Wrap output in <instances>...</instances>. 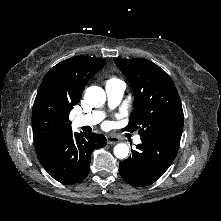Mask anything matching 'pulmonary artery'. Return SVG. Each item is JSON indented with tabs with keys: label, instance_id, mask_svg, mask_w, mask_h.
<instances>
[{
	"label": "pulmonary artery",
	"instance_id": "obj_1",
	"mask_svg": "<svg viewBox=\"0 0 221 221\" xmlns=\"http://www.w3.org/2000/svg\"><path fill=\"white\" fill-rule=\"evenodd\" d=\"M105 90L108 98L109 107L115 108L120 103L123 97L125 84L120 80L109 81L106 83ZM104 117V112L93 111L88 114L76 116L74 122L77 126H93L101 122ZM134 142L140 143V136H136L134 138Z\"/></svg>",
	"mask_w": 221,
	"mask_h": 221
}]
</instances>
